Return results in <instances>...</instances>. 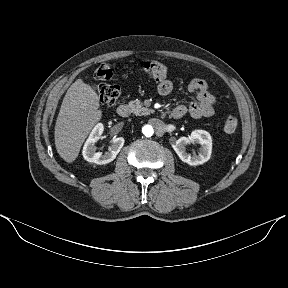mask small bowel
Masks as SVG:
<instances>
[{
    "instance_id": "1",
    "label": "small bowel",
    "mask_w": 288,
    "mask_h": 288,
    "mask_svg": "<svg viewBox=\"0 0 288 288\" xmlns=\"http://www.w3.org/2000/svg\"><path fill=\"white\" fill-rule=\"evenodd\" d=\"M159 94L166 96L173 90V84L170 80H161L158 84ZM190 92L196 95V101L188 105H177L172 110L174 118H181L185 114H190L193 118L209 117L214 114L216 98L210 93L208 83L199 78L190 81L188 85Z\"/></svg>"
}]
</instances>
